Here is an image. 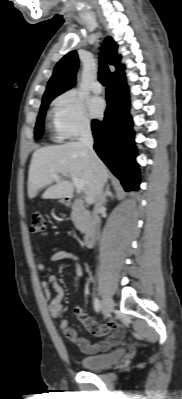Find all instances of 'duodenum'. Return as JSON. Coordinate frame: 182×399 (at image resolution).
I'll list each match as a JSON object with an SVG mask.
<instances>
[{
	"label": "duodenum",
	"instance_id": "obj_1",
	"mask_svg": "<svg viewBox=\"0 0 182 399\" xmlns=\"http://www.w3.org/2000/svg\"><path fill=\"white\" fill-rule=\"evenodd\" d=\"M67 202L69 205L75 206L77 209L81 211L82 219L85 224V232H84V239L83 244L86 248H90L94 246L96 239H97V225L95 221L91 218V216L82 210V201L73 197L69 196L67 198Z\"/></svg>",
	"mask_w": 182,
	"mask_h": 399
}]
</instances>
